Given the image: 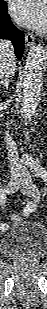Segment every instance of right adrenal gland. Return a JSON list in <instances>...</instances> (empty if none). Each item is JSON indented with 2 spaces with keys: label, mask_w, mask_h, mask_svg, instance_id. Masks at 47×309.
Here are the masks:
<instances>
[{
  "label": "right adrenal gland",
  "mask_w": 47,
  "mask_h": 309,
  "mask_svg": "<svg viewBox=\"0 0 47 309\" xmlns=\"http://www.w3.org/2000/svg\"><path fill=\"white\" fill-rule=\"evenodd\" d=\"M8 85H9L8 81L1 78L0 87H5L6 89H8Z\"/></svg>",
  "instance_id": "obj_1"
}]
</instances>
